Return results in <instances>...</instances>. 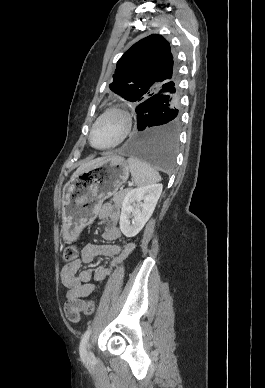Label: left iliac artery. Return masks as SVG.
<instances>
[{
	"instance_id": "left-iliac-artery-1",
	"label": "left iliac artery",
	"mask_w": 265,
	"mask_h": 388,
	"mask_svg": "<svg viewBox=\"0 0 265 388\" xmlns=\"http://www.w3.org/2000/svg\"><path fill=\"white\" fill-rule=\"evenodd\" d=\"M91 331L92 330L90 328H88L82 336V339L80 342V347H79V351H80V354L82 356L86 354V344H87V341L90 337Z\"/></svg>"
}]
</instances>
